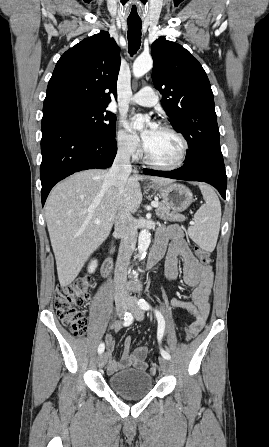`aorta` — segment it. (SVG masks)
I'll list each match as a JSON object with an SVG mask.
<instances>
[{"label": "aorta", "instance_id": "aorta-1", "mask_svg": "<svg viewBox=\"0 0 269 447\" xmlns=\"http://www.w3.org/2000/svg\"><path fill=\"white\" fill-rule=\"evenodd\" d=\"M153 68V60L151 56H138L133 64V76L135 78H142L147 72H150ZM146 122H150L149 116H144V114H136L134 120L135 130H144ZM151 241V233L149 229H141L139 233V243L138 249L139 253L143 255L149 247ZM137 275L136 271H133Z\"/></svg>", "mask_w": 269, "mask_h": 447}]
</instances>
